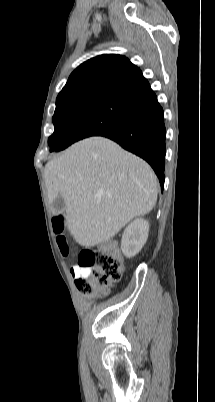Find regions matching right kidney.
<instances>
[{"label":"right kidney","instance_id":"ca27d5eb","mask_svg":"<svg viewBox=\"0 0 215 402\" xmlns=\"http://www.w3.org/2000/svg\"><path fill=\"white\" fill-rule=\"evenodd\" d=\"M149 223L144 219H136L124 230L121 250L130 258L138 254L147 241Z\"/></svg>","mask_w":215,"mask_h":402}]
</instances>
